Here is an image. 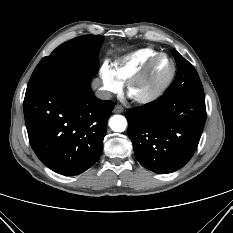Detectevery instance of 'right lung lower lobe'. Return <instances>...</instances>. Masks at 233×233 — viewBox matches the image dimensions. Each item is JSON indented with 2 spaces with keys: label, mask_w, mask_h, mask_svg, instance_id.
<instances>
[{
  "label": "right lung lower lobe",
  "mask_w": 233,
  "mask_h": 233,
  "mask_svg": "<svg viewBox=\"0 0 233 233\" xmlns=\"http://www.w3.org/2000/svg\"><path fill=\"white\" fill-rule=\"evenodd\" d=\"M91 76L59 81L24 99L29 141L37 157L62 175L90 168L103 150L112 101L95 97Z\"/></svg>",
  "instance_id": "98d812e1"
}]
</instances>
